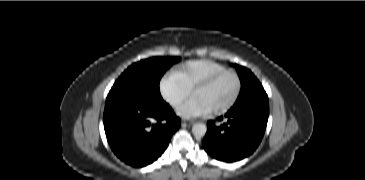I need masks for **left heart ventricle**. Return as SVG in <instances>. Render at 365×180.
<instances>
[{"instance_id":"obj_1","label":"left heart ventricle","mask_w":365,"mask_h":180,"mask_svg":"<svg viewBox=\"0 0 365 180\" xmlns=\"http://www.w3.org/2000/svg\"><path fill=\"white\" fill-rule=\"evenodd\" d=\"M237 82L233 75H226L213 85L199 91L195 97L208 109H214L228 102L236 90Z\"/></svg>"}]
</instances>
